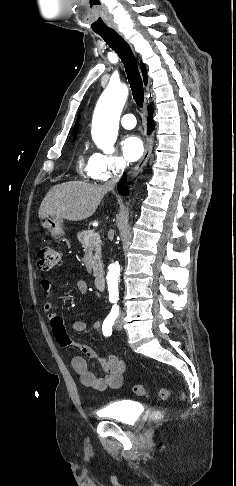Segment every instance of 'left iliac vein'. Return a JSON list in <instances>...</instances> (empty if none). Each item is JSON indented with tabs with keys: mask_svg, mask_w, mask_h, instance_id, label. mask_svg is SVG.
Wrapping results in <instances>:
<instances>
[{
	"mask_svg": "<svg viewBox=\"0 0 236 486\" xmlns=\"http://www.w3.org/2000/svg\"><path fill=\"white\" fill-rule=\"evenodd\" d=\"M115 328L117 330H121L122 329V317L121 316L117 319V321L115 323Z\"/></svg>",
	"mask_w": 236,
	"mask_h": 486,
	"instance_id": "left-iliac-vein-1",
	"label": "left iliac vein"
}]
</instances>
